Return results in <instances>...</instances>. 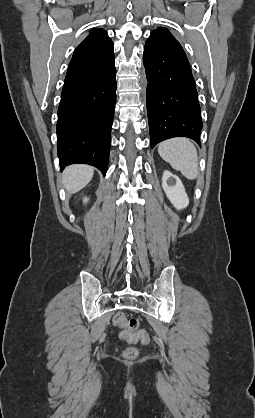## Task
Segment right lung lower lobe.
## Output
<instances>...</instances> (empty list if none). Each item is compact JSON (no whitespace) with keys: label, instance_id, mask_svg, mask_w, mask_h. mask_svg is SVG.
Instances as JSON below:
<instances>
[{"label":"right lung lower lobe","instance_id":"right-lung-lower-lobe-1","mask_svg":"<svg viewBox=\"0 0 255 418\" xmlns=\"http://www.w3.org/2000/svg\"><path fill=\"white\" fill-rule=\"evenodd\" d=\"M114 56L68 69L58 109V157L61 168L85 163L107 172L110 131L116 103Z\"/></svg>","mask_w":255,"mask_h":418}]
</instances>
